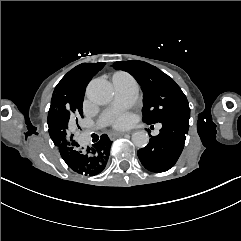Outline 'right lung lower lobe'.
Wrapping results in <instances>:
<instances>
[{"instance_id":"right-lung-lower-lobe-1","label":"right lung lower lobe","mask_w":241,"mask_h":241,"mask_svg":"<svg viewBox=\"0 0 241 241\" xmlns=\"http://www.w3.org/2000/svg\"><path fill=\"white\" fill-rule=\"evenodd\" d=\"M110 148L111 141L105 134L97 143L84 150L79 148V144L75 141L58 147L65 163L73 171L85 176H94L104 170L110 155Z\"/></svg>"}]
</instances>
